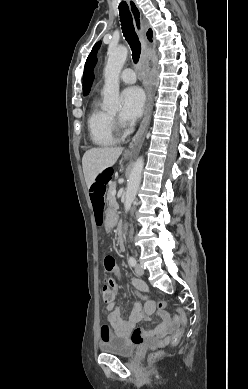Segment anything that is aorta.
Instances as JSON below:
<instances>
[{"label":"aorta","instance_id":"aorta-1","mask_svg":"<svg viewBox=\"0 0 248 389\" xmlns=\"http://www.w3.org/2000/svg\"><path fill=\"white\" fill-rule=\"evenodd\" d=\"M108 59L104 69L105 84L102 91L103 108L108 111H118L121 107L119 99V75L127 59L128 49L118 46L108 50ZM144 167L143 157H139L132 168L125 194L124 209L127 213L136 197Z\"/></svg>","mask_w":248,"mask_h":389}]
</instances>
